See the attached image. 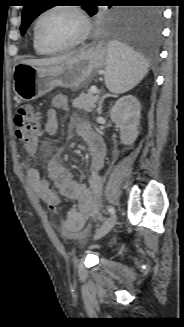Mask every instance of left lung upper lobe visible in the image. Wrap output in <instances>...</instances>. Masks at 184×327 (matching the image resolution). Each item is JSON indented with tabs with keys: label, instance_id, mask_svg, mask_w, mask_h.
Masks as SVG:
<instances>
[{
	"label": "left lung upper lobe",
	"instance_id": "obj_1",
	"mask_svg": "<svg viewBox=\"0 0 184 327\" xmlns=\"http://www.w3.org/2000/svg\"><path fill=\"white\" fill-rule=\"evenodd\" d=\"M47 9H49V2L47 0H29L22 12L21 35H24L30 23ZM83 9L88 15L97 17L105 28L115 30L124 27L136 13V11H124L119 9L101 12L98 6L95 5H86L83 6Z\"/></svg>",
	"mask_w": 184,
	"mask_h": 327
}]
</instances>
